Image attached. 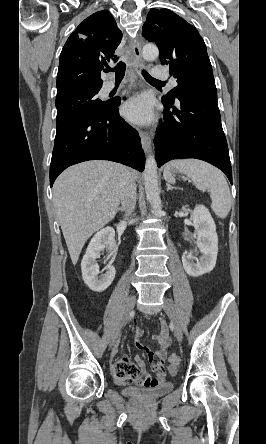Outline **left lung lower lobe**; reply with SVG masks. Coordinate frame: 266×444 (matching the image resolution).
Segmentation results:
<instances>
[{
    "label": "left lung lower lobe",
    "mask_w": 266,
    "mask_h": 444,
    "mask_svg": "<svg viewBox=\"0 0 266 444\" xmlns=\"http://www.w3.org/2000/svg\"><path fill=\"white\" fill-rule=\"evenodd\" d=\"M178 100L179 109L162 99L167 111L154 139L157 166L172 159L196 158L221 169L232 183L217 95L182 96Z\"/></svg>",
    "instance_id": "left-lung-lower-lobe-1"
}]
</instances>
